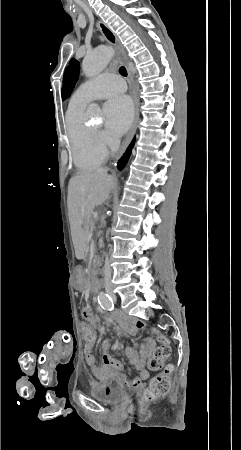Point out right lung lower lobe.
Listing matches in <instances>:
<instances>
[{"mask_svg": "<svg viewBox=\"0 0 241 450\" xmlns=\"http://www.w3.org/2000/svg\"><path fill=\"white\" fill-rule=\"evenodd\" d=\"M134 142H135V138L132 140L131 144L128 146V148H127L126 152L124 153L123 157H121V159L119 160L118 165H117V168L119 170H122L123 167L125 166V164L127 163L128 159L130 157L132 148L134 146Z\"/></svg>", "mask_w": 241, "mask_h": 450, "instance_id": "obj_1", "label": "right lung lower lobe"}]
</instances>
